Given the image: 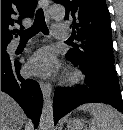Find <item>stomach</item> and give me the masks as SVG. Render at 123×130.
Returning a JSON list of instances; mask_svg holds the SVG:
<instances>
[{
	"mask_svg": "<svg viewBox=\"0 0 123 130\" xmlns=\"http://www.w3.org/2000/svg\"><path fill=\"white\" fill-rule=\"evenodd\" d=\"M84 122L80 119H70L67 121L68 130H83Z\"/></svg>",
	"mask_w": 123,
	"mask_h": 130,
	"instance_id": "stomach-1",
	"label": "stomach"
}]
</instances>
